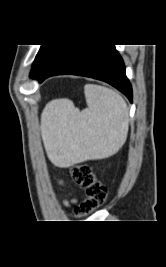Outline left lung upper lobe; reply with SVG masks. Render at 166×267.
I'll use <instances>...</instances> for the list:
<instances>
[{"instance_id": "5c2ea615", "label": "left lung upper lobe", "mask_w": 166, "mask_h": 267, "mask_svg": "<svg viewBox=\"0 0 166 267\" xmlns=\"http://www.w3.org/2000/svg\"><path fill=\"white\" fill-rule=\"evenodd\" d=\"M55 44H50V45H42L38 54L36 55L35 61L33 63L31 72H30V78L34 76L36 73L37 69L41 65L42 61L44 58L47 56V54L55 47Z\"/></svg>"}]
</instances>
